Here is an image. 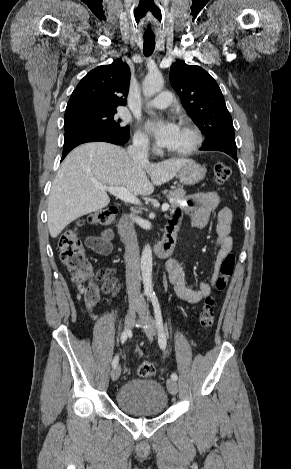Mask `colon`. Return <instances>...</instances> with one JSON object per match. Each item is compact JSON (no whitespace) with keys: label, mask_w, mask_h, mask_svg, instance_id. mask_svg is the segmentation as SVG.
I'll use <instances>...</instances> for the list:
<instances>
[{"label":"colon","mask_w":291,"mask_h":469,"mask_svg":"<svg viewBox=\"0 0 291 469\" xmlns=\"http://www.w3.org/2000/svg\"><path fill=\"white\" fill-rule=\"evenodd\" d=\"M214 181L217 185L224 184L232 175L231 167L224 163L218 162L213 170ZM115 215L114 208H105L91 213L85 219L79 222V226L92 225L103 227L108 225ZM59 252L61 262L70 270L72 280L79 289H82L84 281L89 280V285L85 289L84 300L88 310H92L99 301L100 292L97 282L104 280V290L107 292L114 291L116 288L115 281L109 277L112 272L110 268L101 269L95 276L92 273L91 266L85 257L84 246L77 229L66 231L59 240ZM235 267V256L227 255L221 262L219 267V275L216 279V289L222 291L226 288ZM215 299L209 296L205 299L202 310L199 314L198 323L201 328L208 329L215 322ZM155 366L150 361H143L139 368L138 374L143 378L153 376Z\"/></svg>","instance_id":"5ec220e1"}]
</instances>
